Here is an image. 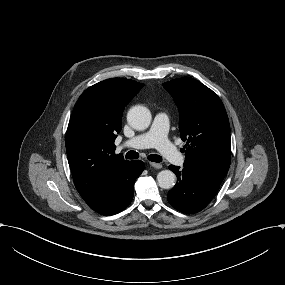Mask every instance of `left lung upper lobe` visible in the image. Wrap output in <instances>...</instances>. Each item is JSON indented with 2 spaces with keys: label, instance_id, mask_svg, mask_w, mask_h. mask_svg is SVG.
I'll list each match as a JSON object with an SVG mask.
<instances>
[{
  "label": "left lung upper lobe",
  "instance_id": "left-lung-upper-lobe-1",
  "mask_svg": "<svg viewBox=\"0 0 285 285\" xmlns=\"http://www.w3.org/2000/svg\"><path fill=\"white\" fill-rule=\"evenodd\" d=\"M179 109V130L186 141L184 168L220 185L231 160L229 120L220 98L201 82L183 77L163 83Z\"/></svg>",
  "mask_w": 285,
  "mask_h": 285
}]
</instances>
